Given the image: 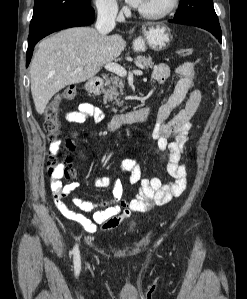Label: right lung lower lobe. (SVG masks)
I'll list each match as a JSON object with an SVG mask.
<instances>
[{"label":"right lung lower lobe","mask_w":247,"mask_h":299,"mask_svg":"<svg viewBox=\"0 0 247 299\" xmlns=\"http://www.w3.org/2000/svg\"><path fill=\"white\" fill-rule=\"evenodd\" d=\"M93 21L94 10L90 6L67 11L29 30L26 67L30 63L34 46L39 40L55 31L74 26L89 25Z\"/></svg>","instance_id":"98d812e1"}]
</instances>
